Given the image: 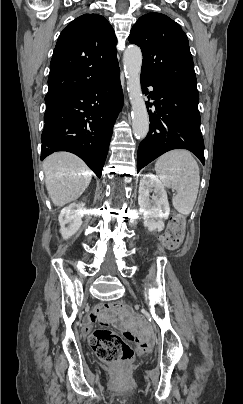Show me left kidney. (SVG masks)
Wrapping results in <instances>:
<instances>
[{
    "mask_svg": "<svg viewBox=\"0 0 243 404\" xmlns=\"http://www.w3.org/2000/svg\"><path fill=\"white\" fill-rule=\"evenodd\" d=\"M151 192L153 196H150ZM138 204L145 228L150 232H162L165 226L163 220L169 218L170 206L165 188L154 174H145L140 180Z\"/></svg>",
    "mask_w": 243,
    "mask_h": 404,
    "instance_id": "left-kidney-1",
    "label": "left kidney"
}]
</instances>
